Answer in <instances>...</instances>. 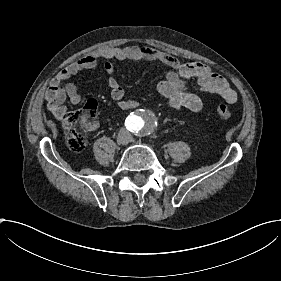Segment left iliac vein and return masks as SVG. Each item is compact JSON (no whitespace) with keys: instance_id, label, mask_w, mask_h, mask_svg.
<instances>
[{"instance_id":"obj_1","label":"left iliac vein","mask_w":281,"mask_h":281,"mask_svg":"<svg viewBox=\"0 0 281 281\" xmlns=\"http://www.w3.org/2000/svg\"><path fill=\"white\" fill-rule=\"evenodd\" d=\"M130 142H136L137 143V141H136V139H133V137H130Z\"/></svg>"}]
</instances>
